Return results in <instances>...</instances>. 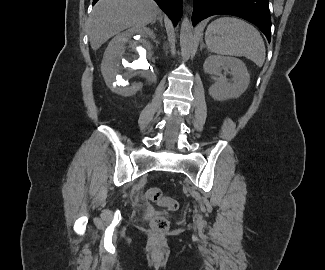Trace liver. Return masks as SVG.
I'll return each mask as SVG.
<instances>
[{
    "instance_id": "liver-1",
    "label": "liver",
    "mask_w": 325,
    "mask_h": 270,
    "mask_svg": "<svg viewBox=\"0 0 325 270\" xmlns=\"http://www.w3.org/2000/svg\"><path fill=\"white\" fill-rule=\"evenodd\" d=\"M153 0H99L89 19V40L93 50L128 28L141 29L156 19Z\"/></svg>"
}]
</instances>
